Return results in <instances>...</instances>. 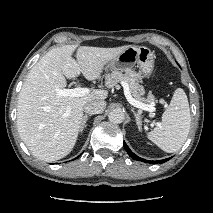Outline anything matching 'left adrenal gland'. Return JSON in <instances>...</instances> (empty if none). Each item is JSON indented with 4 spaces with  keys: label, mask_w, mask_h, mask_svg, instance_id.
<instances>
[{
    "label": "left adrenal gland",
    "mask_w": 213,
    "mask_h": 213,
    "mask_svg": "<svg viewBox=\"0 0 213 213\" xmlns=\"http://www.w3.org/2000/svg\"><path fill=\"white\" fill-rule=\"evenodd\" d=\"M132 112H133V114L135 116V120H136V124L138 126V129L140 130V127H141V122H140L141 114L140 113H136L133 108H132Z\"/></svg>",
    "instance_id": "left-adrenal-gland-1"
}]
</instances>
